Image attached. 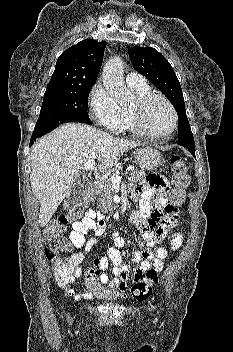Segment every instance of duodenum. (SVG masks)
<instances>
[{
	"label": "duodenum",
	"instance_id": "1",
	"mask_svg": "<svg viewBox=\"0 0 233 352\" xmlns=\"http://www.w3.org/2000/svg\"><path fill=\"white\" fill-rule=\"evenodd\" d=\"M100 188H101V185L99 182H96L94 185H93V188H92V192L95 194V193H98L100 191Z\"/></svg>",
	"mask_w": 233,
	"mask_h": 352
}]
</instances>
